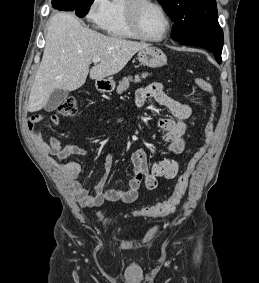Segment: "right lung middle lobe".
<instances>
[{
  "instance_id": "dd1d6c3e",
  "label": "right lung middle lobe",
  "mask_w": 259,
  "mask_h": 283,
  "mask_svg": "<svg viewBox=\"0 0 259 283\" xmlns=\"http://www.w3.org/2000/svg\"><path fill=\"white\" fill-rule=\"evenodd\" d=\"M93 1L94 0H76V15L80 18L84 17L88 13L89 7Z\"/></svg>"
}]
</instances>
